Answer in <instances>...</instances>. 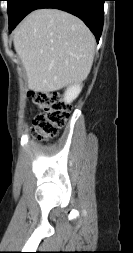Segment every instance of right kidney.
<instances>
[{
	"mask_svg": "<svg viewBox=\"0 0 133 253\" xmlns=\"http://www.w3.org/2000/svg\"><path fill=\"white\" fill-rule=\"evenodd\" d=\"M82 89V86L77 84L69 87L64 95V102L66 104L71 103L74 99L78 97Z\"/></svg>",
	"mask_w": 133,
	"mask_h": 253,
	"instance_id": "right-kidney-1",
	"label": "right kidney"
}]
</instances>
